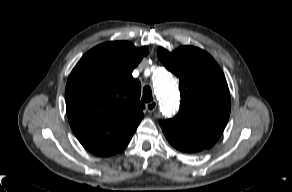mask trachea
<instances>
[{
  "mask_svg": "<svg viewBox=\"0 0 292 192\" xmlns=\"http://www.w3.org/2000/svg\"><path fill=\"white\" fill-rule=\"evenodd\" d=\"M153 100L152 97V91L149 86H145L143 88V96H142V101L143 102H151Z\"/></svg>",
  "mask_w": 292,
  "mask_h": 192,
  "instance_id": "trachea-1",
  "label": "trachea"
}]
</instances>
